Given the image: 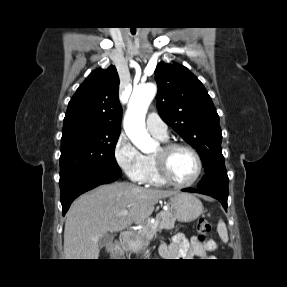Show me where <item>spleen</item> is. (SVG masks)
Returning <instances> with one entry per match:
<instances>
[{
    "mask_svg": "<svg viewBox=\"0 0 287 287\" xmlns=\"http://www.w3.org/2000/svg\"><path fill=\"white\" fill-rule=\"evenodd\" d=\"M217 231H218V234H219L221 240L224 243H227L228 240H229L228 232H227L226 225H225V223H224V221L222 219H220L219 222H218Z\"/></svg>",
    "mask_w": 287,
    "mask_h": 287,
    "instance_id": "obj_1",
    "label": "spleen"
}]
</instances>
